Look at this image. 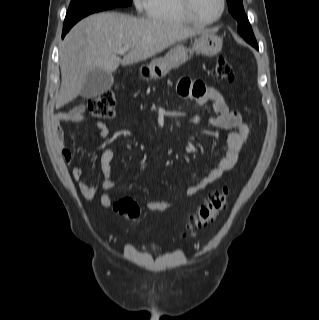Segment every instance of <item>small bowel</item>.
I'll return each instance as SVG.
<instances>
[{"label":"small bowel","mask_w":319,"mask_h":320,"mask_svg":"<svg viewBox=\"0 0 319 320\" xmlns=\"http://www.w3.org/2000/svg\"><path fill=\"white\" fill-rule=\"evenodd\" d=\"M178 93L182 98L192 99L199 106L211 102L214 114L206 116V121L213 127L228 131L226 139V149L221 159L215 165L209 168L208 173L199 182L190 186L187 196H192L206 189L209 185L219 180L222 175L231 170L239 157L240 151L246 144L250 127L242 119L237 111L230 110L223 95L214 87L208 86L202 80H192L183 77L178 82ZM90 122L98 131L100 138H106L110 135L108 126L101 121H89L83 116L82 108H77L70 112L59 113L55 117L56 132L61 139L62 132L59 124L62 122ZM154 139V137L152 136ZM63 160L70 165L72 161V152L67 148L61 149ZM114 158V151L110 148L105 149L100 156L99 171L103 177L101 184L102 191H108L114 188L115 182L112 178L111 162ZM72 177L79 182V190L88 199L99 197L101 204L109 208L113 204V198L106 192H100L99 189L82 181L84 174L80 166L71 168ZM176 200L152 201L147 204L150 211L162 212L174 206Z\"/></svg>","instance_id":"1"}]
</instances>
